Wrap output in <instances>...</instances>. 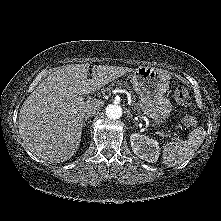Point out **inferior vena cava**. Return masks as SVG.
I'll return each instance as SVG.
<instances>
[{"label": "inferior vena cava", "mask_w": 221, "mask_h": 221, "mask_svg": "<svg viewBox=\"0 0 221 221\" xmlns=\"http://www.w3.org/2000/svg\"><path fill=\"white\" fill-rule=\"evenodd\" d=\"M101 108V103L91 104L85 109L88 116L96 114Z\"/></svg>", "instance_id": "602c4592"}]
</instances>
